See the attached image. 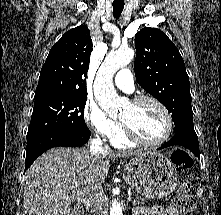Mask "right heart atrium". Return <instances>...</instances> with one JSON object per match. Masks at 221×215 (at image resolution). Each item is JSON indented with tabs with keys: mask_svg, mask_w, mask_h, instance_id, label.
<instances>
[{
	"mask_svg": "<svg viewBox=\"0 0 221 215\" xmlns=\"http://www.w3.org/2000/svg\"><path fill=\"white\" fill-rule=\"evenodd\" d=\"M83 118L90 130L97 136L111 139L120 130V123L110 118L100 106L87 101L83 109Z\"/></svg>",
	"mask_w": 221,
	"mask_h": 215,
	"instance_id": "d8ad5b80",
	"label": "right heart atrium"
}]
</instances>
